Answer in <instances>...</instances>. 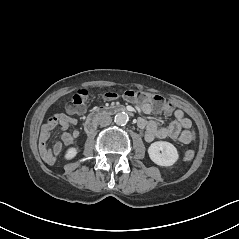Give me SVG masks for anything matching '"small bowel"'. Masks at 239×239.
I'll return each instance as SVG.
<instances>
[{
  "instance_id": "c3829d8e",
  "label": "small bowel",
  "mask_w": 239,
  "mask_h": 239,
  "mask_svg": "<svg viewBox=\"0 0 239 239\" xmlns=\"http://www.w3.org/2000/svg\"><path fill=\"white\" fill-rule=\"evenodd\" d=\"M141 110L145 114L151 112H159L155 110L152 105L148 102L141 105ZM166 114H173L175 120L168 126L162 127L159 121L147 120L140 118L138 125L141 129H144V139L147 142H151L154 139H172L182 144H188L193 138L191 131L192 122L185 116V113L181 109L165 111ZM77 119L70 117L65 114H56L50 117L42 126L39 135V151L42 159L49 165L55 163L57 156L62 152L63 145L61 142H56L53 147L48 148V139L51 132L56 128L60 127L63 131L61 139L64 145L71 146L79 136V131L74 130L68 132L67 129L72 125H77Z\"/></svg>"
}]
</instances>
